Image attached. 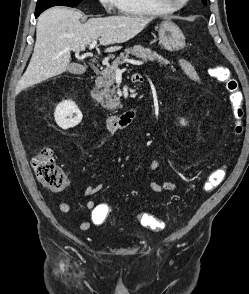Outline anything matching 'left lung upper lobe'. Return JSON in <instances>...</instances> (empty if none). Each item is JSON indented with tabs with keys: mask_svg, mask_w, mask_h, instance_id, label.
<instances>
[{
	"mask_svg": "<svg viewBox=\"0 0 249 294\" xmlns=\"http://www.w3.org/2000/svg\"><path fill=\"white\" fill-rule=\"evenodd\" d=\"M202 3L204 4V5H206L207 3H206V0H202Z\"/></svg>",
	"mask_w": 249,
	"mask_h": 294,
	"instance_id": "1",
	"label": "left lung upper lobe"
}]
</instances>
